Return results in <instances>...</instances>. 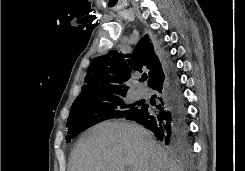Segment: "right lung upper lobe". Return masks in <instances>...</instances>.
<instances>
[{"label":"right lung upper lobe","mask_w":245,"mask_h":171,"mask_svg":"<svg viewBox=\"0 0 245 171\" xmlns=\"http://www.w3.org/2000/svg\"><path fill=\"white\" fill-rule=\"evenodd\" d=\"M125 57L129 58V67ZM143 68L149 69V86L164 75L161 56L157 54L147 35L138 42L131 55L123 56L117 50H112L95 57L87 70L82 93L75 101L126 94L129 89L126 83L130 79V71L141 72Z\"/></svg>","instance_id":"right-lung-upper-lobe-1"}]
</instances>
